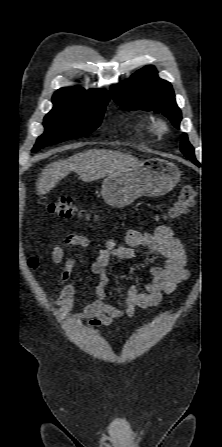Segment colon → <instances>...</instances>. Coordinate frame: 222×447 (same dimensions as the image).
Segmentation results:
<instances>
[{
	"label": "colon",
	"instance_id": "colon-1",
	"mask_svg": "<svg viewBox=\"0 0 222 447\" xmlns=\"http://www.w3.org/2000/svg\"><path fill=\"white\" fill-rule=\"evenodd\" d=\"M196 192L191 185H186L182 188L177 200L168 210L166 218L168 220H177L184 215L189 207L193 204ZM48 213L55 217L72 218L80 215L78 208L75 205L74 199L70 196L59 197L48 205ZM31 267H36L37 261L30 260Z\"/></svg>",
	"mask_w": 222,
	"mask_h": 447
}]
</instances>
